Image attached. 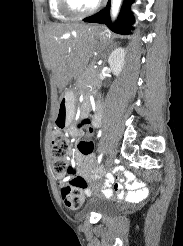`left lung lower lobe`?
I'll return each mask as SVG.
<instances>
[{"mask_svg": "<svg viewBox=\"0 0 183 246\" xmlns=\"http://www.w3.org/2000/svg\"><path fill=\"white\" fill-rule=\"evenodd\" d=\"M134 0H124L123 7L121 9L120 15L114 26L110 22V1L108 2L105 9L99 11L93 16L83 19L85 22L101 23L106 24L110 29L116 33L127 35L131 34V24L134 23V17L130 10V6Z\"/></svg>", "mask_w": 183, "mask_h": 246, "instance_id": "obj_1", "label": "left lung lower lobe"}]
</instances>
